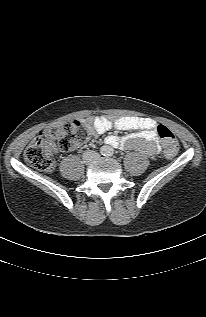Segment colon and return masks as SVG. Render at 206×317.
<instances>
[{
  "mask_svg": "<svg viewBox=\"0 0 206 317\" xmlns=\"http://www.w3.org/2000/svg\"><path fill=\"white\" fill-rule=\"evenodd\" d=\"M91 134V129L77 121L66 122L46 130L42 136L34 139L25 149L24 157L32 167L50 172L54 169L51 154L56 143L60 149L69 151L76 145L85 142ZM157 134L161 138L167 156H174L178 150V140L175 134L166 126L159 125Z\"/></svg>",
  "mask_w": 206,
  "mask_h": 317,
  "instance_id": "1",
  "label": "colon"
}]
</instances>
